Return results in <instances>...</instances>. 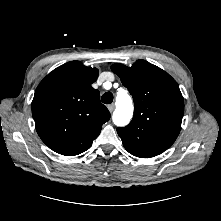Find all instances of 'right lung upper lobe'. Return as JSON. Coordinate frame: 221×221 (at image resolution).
<instances>
[{
    "label": "right lung upper lobe",
    "mask_w": 221,
    "mask_h": 221,
    "mask_svg": "<svg viewBox=\"0 0 221 221\" xmlns=\"http://www.w3.org/2000/svg\"><path fill=\"white\" fill-rule=\"evenodd\" d=\"M98 69L71 61L49 73L37 87L32 116L38 135L53 151L74 156L90 148L110 118L91 84Z\"/></svg>",
    "instance_id": "1"
}]
</instances>
